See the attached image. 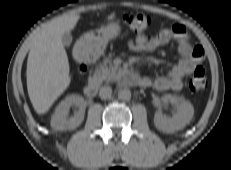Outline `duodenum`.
<instances>
[{"instance_id": "duodenum-1", "label": "duodenum", "mask_w": 231, "mask_h": 170, "mask_svg": "<svg viewBox=\"0 0 231 170\" xmlns=\"http://www.w3.org/2000/svg\"><path fill=\"white\" fill-rule=\"evenodd\" d=\"M123 80L129 84H139V77L138 75L131 69H126ZM101 81L98 77H93L87 84V86L84 89L85 95L88 98H93L98 93V90L100 88Z\"/></svg>"}]
</instances>
